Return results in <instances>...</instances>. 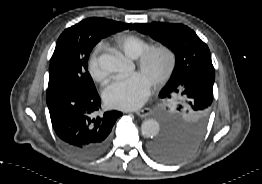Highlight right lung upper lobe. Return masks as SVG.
<instances>
[{
    "instance_id": "right-lung-upper-lobe-1",
    "label": "right lung upper lobe",
    "mask_w": 262,
    "mask_h": 184,
    "mask_svg": "<svg viewBox=\"0 0 262 184\" xmlns=\"http://www.w3.org/2000/svg\"><path fill=\"white\" fill-rule=\"evenodd\" d=\"M91 20H99L101 22H104L108 25H111V26H114L116 28H119V29H128L132 24H125V23H120V22H116V21H112V20H107V19H103V18H90ZM90 19H87V20H90Z\"/></svg>"
}]
</instances>
